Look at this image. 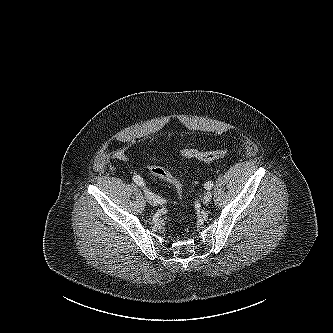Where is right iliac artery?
I'll return each instance as SVG.
<instances>
[{
  "mask_svg": "<svg viewBox=\"0 0 333 333\" xmlns=\"http://www.w3.org/2000/svg\"><path fill=\"white\" fill-rule=\"evenodd\" d=\"M133 180H134V182L138 185V186H141V187H144V181H143V179H142V177H140L139 175H135V176H133ZM144 191H148L145 187H144ZM148 193L152 196V197H155V199H156V201L158 202V203H164L165 202V200H163V199H160V197H158V196H155L154 195V193H152V192H150V191H148Z\"/></svg>",
  "mask_w": 333,
  "mask_h": 333,
  "instance_id": "82829eb1",
  "label": "right iliac artery"
}]
</instances>
